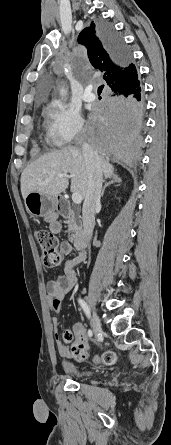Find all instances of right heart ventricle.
<instances>
[{
    "label": "right heart ventricle",
    "mask_w": 171,
    "mask_h": 445,
    "mask_svg": "<svg viewBox=\"0 0 171 445\" xmlns=\"http://www.w3.org/2000/svg\"><path fill=\"white\" fill-rule=\"evenodd\" d=\"M45 129H46V139H47V141L49 143H52V144H58L57 141L54 138L53 133H52L51 124L48 121L45 122Z\"/></svg>",
    "instance_id": "e07e8e85"
}]
</instances>
